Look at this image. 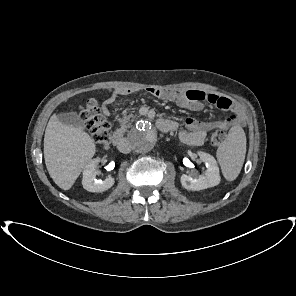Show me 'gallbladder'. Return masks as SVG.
<instances>
[{
	"label": "gallbladder",
	"instance_id": "obj_1",
	"mask_svg": "<svg viewBox=\"0 0 296 296\" xmlns=\"http://www.w3.org/2000/svg\"><path fill=\"white\" fill-rule=\"evenodd\" d=\"M57 117H58V120L64 125L72 126L76 128L83 127V123L80 117L75 112L60 113Z\"/></svg>",
	"mask_w": 296,
	"mask_h": 296
}]
</instances>
